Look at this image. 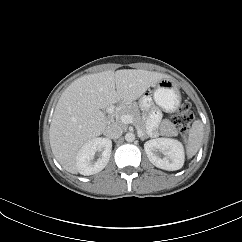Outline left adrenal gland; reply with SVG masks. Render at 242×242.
<instances>
[{
    "label": "left adrenal gland",
    "mask_w": 242,
    "mask_h": 242,
    "mask_svg": "<svg viewBox=\"0 0 242 242\" xmlns=\"http://www.w3.org/2000/svg\"><path fill=\"white\" fill-rule=\"evenodd\" d=\"M139 137H140V139H141L142 141H144L145 139L148 138V136H146V135H144V136H140V135H139Z\"/></svg>",
    "instance_id": "left-adrenal-gland-1"
}]
</instances>
